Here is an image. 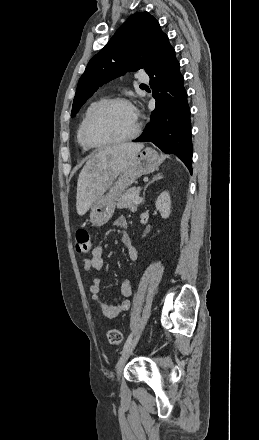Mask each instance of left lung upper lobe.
Returning <instances> with one entry per match:
<instances>
[{"mask_svg":"<svg viewBox=\"0 0 259 440\" xmlns=\"http://www.w3.org/2000/svg\"><path fill=\"white\" fill-rule=\"evenodd\" d=\"M166 37L158 21L148 12L131 15L89 61L78 82L71 116L74 117L103 84L126 72L146 71Z\"/></svg>","mask_w":259,"mask_h":440,"instance_id":"obj_1","label":"left lung upper lobe"}]
</instances>
